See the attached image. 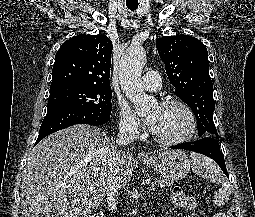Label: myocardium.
<instances>
[{
    "label": "myocardium",
    "instance_id": "f54148a6",
    "mask_svg": "<svg viewBox=\"0 0 255 217\" xmlns=\"http://www.w3.org/2000/svg\"><path fill=\"white\" fill-rule=\"evenodd\" d=\"M159 106H161V107H169V106L181 107L182 109H184V111L187 113V115L189 117V126L184 134H182L181 136L176 137V138H162V137H159L153 133L154 140L157 143L165 145V146L178 145V144L188 141L194 135L196 127H197V118H196V115H195L193 109L191 108V106L187 102H185L184 100H181L179 98H169V99L163 100L159 104Z\"/></svg>",
    "mask_w": 255,
    "mask_h": 217
}]
</instances>
